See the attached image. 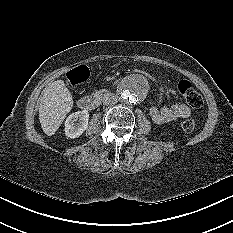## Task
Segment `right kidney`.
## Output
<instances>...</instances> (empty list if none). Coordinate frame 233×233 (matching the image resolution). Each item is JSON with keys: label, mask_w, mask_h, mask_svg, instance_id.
<instances>
[{"label": "right kidney", "mask_w": 233, "mask_h": 233, "mask_svg": "<svg viewBox=\"0 0 233 233\" xmlns=\"http://www.w3.org/2000/svg\"><path fill=\"white\" fill-rule=\"evenodd\" d=\"M89 113L87 110L77 111L65 121V134L69 138H77L87 129Z\"/></svg>", "instance_id": "ca27d5eb"}]
</instances>
